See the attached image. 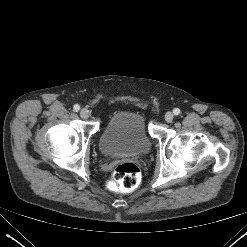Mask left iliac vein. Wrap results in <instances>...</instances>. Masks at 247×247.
I'll use <instances>...</instances> for the list:
<instances>
[{
    "label": "left iliac vein",
    "instance_id": "1",
    "mask_svg": "<svg viewBox=\"0 0 247 247\" xmlns=\"http://www.w3.org/2000/svg\"><path fill=\"white\" fill-rule=\"evenodd\" d=\"M173 118H174V114L172 112H167L165 114V120L167 122H172L173 121Z\"/></svg>",
    "mask_w": 247,
    "mask_h": 247
}]
</instances>
